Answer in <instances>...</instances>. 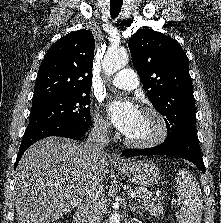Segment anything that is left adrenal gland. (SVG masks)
<instances>
[{
  "label": "left adrenal gland",
  "instance_id": "left-adrenal-gland-1",
  "mask_svg": "<svg viewBox=\"0 0 221 223\" xmlns=\"http://www.w3.org/2000/svg\"><path fill=\"white\" fill-rule=\"evenodd\" d=\"M129 207L131 212H136V210H141V206H139L137 203L133 205L131 201H129Z\"/></svg>",
  "mask_w": 221,
  "mask_h": 223
}]
</instances>
